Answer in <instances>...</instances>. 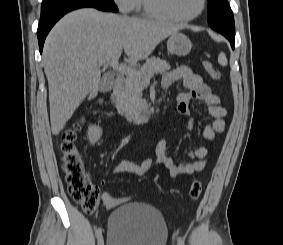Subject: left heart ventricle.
<instances>
[{
	"mask_svg": "<svg viewBox=\"0 0 283 245\" xmlns=\"http://www.w3.org/2000/svg\"><path fill=\"white\" fill-rule=\"evenodd\" d=\"M201 0H163L164 9L176 17H189L200 8Z\"/></svg>",
	"mask_w": 283,
	"mask_h": 245,
	"instance_id": "b2bd125f",
	"label": "left heart ventricle"
}]
</instances>
